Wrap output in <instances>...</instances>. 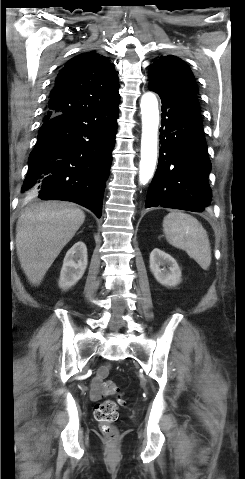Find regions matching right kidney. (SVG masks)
<instances>
[{
  "label": "right kidney",
  "mask_w": 245,
  "mask_h": 479,
  "mask_svg": "<svg viewBox=\"0 0 245 479\" xmlns=\"http://www.w3.org/2000/svg\"><path fill=\"white\" fill-rule=\"evenodd\" d=\"M87 248L82 241L75 243L66 253L60 272L59 287L67 290L74 286L84 275L87 268Z\"/></svg>",
  "instance_id": "right-kidney-1"
}]
</instances>
